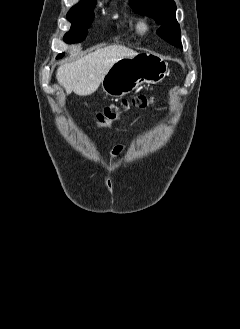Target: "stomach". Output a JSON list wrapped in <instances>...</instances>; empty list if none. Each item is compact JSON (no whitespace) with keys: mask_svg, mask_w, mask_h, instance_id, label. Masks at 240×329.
Listing matches in <instances>:
<instances>
[{"mask_svg":"<svg viewBox=\"0 0 240 329\" xmlns=\"http://www.w3.org/2000/svg\"><path fill=\"white\" fill-rule=\"evenodd\" d=\"M168 72V63L161 55L142 52L114 63L103 77L101 86L106 95L123 97L142 83L162 81Z\"/></svg>","mask_w":240,"mask_h":329,"instance_id":"obj_1","label":"stomach"}]
</instances>
